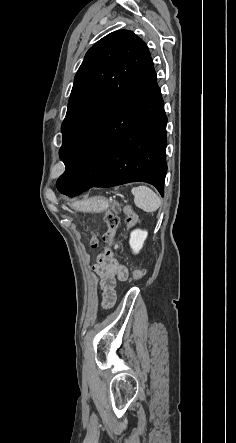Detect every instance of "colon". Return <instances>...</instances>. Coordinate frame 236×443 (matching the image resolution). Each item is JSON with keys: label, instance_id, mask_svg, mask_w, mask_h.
<instances>
[{"label": "colon", "instance_id": "1", "mask_svg": "<svg viewBox=\"0 0 236 443\" xmlns=\"http://www.w3.org/2000/svg\"><path fill=\"white\" fill-rule=\"evenodd\" d=\"M123 210L126 214V223L129 227H132L137 222V215L131 209L130 206H124L122 208L121 204L118 201H113L110 209L106 212L104 220L107 226L106 231L102 234V242L105 244V254L108 257L113 255L112 249L116 246V231L119 225V212ZM91 244L93 247H96L99 244V240L96 236H94L91 240ZM143 271L139 268H135L132 271V278L134 280H138L142 278Z\"/></svg>", "mask_w": 236, "mask_h": 443}]
</instances>
